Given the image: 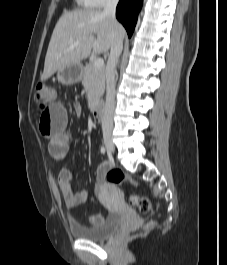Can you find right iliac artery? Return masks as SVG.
Segmentation results:
<instances>
[{
	"label": "right iliac artery",
	"mask_w": 227,
	"mask_h": 265,
	"mask_svg": "<svg viewBox=\"0 0 227 265\" xmlns=\"http://www.w3.org/2000/svg\"><path fill=\"white\" fill-rule=\"evenodd\" d=\"M105 151H106V150H105V147L102 146V147H101V153H102V154H105Z\"/></svg>",
	"instance_id": "obj_1"
}]
</instances>
